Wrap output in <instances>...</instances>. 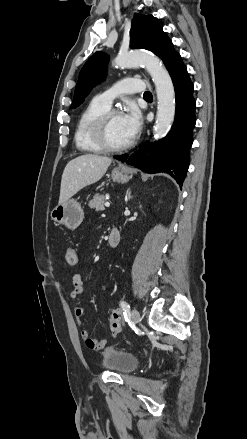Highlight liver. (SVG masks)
Segmentation results:
<instances>
[{"label": "liver", "mask_w": 247, "mask_h": 439, "mask_svg": "<svg viewBox=\"0 0 247 439\" xmlns=\"http://www.w3.org/2000/svg\"><path fill=\"white\" fill-rule=\"evenodd\" d=\"M111 162V158L96 154L81 155L69 161L62 174L59 204L69 200L82 188L99 181Z\"/></svg>", "instance_id": "liver-1"}]
</instances>
